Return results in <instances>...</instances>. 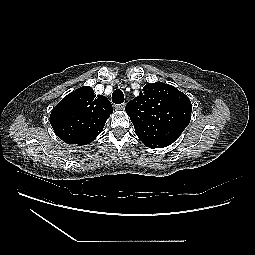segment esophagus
<instances>
[{"label":"esophagus","instance_id":"34e87169","mask_svg":"<svg viewBox=\"0 0 255 255\" xmlns=\"http://www.w3.org/2000/svg\"><path fill=\"white\" fill-rule=\"evenodd\" d=\"M114 107L118 110H123L125 109V103L114 105Z\"/></svg>","mask_w":255,"mask_h":255}]
</instances>
